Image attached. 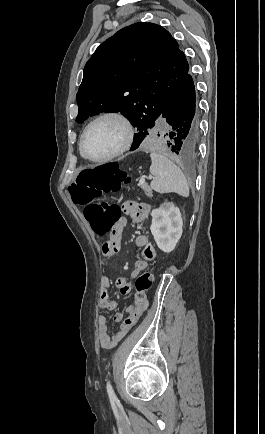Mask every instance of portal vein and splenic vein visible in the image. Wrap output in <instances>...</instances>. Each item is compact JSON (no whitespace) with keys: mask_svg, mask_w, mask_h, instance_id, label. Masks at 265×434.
I'll use <instances>...</instances> for the list:
<instances>
[{"mask_svg":"<svg viewBox=\"0 0 265 434\" xmlns=\"http://www.w3.org/2000/svg\"><path fill=\"white\" fill-rule=\"evenodd\" d=\"M150 180H154L153 176H149ZM145 182V176H143V178H140L139 180V186H142V184H144Z\"/></svg>","mask_w":265,"mask_h":434,"instance_id":"portal-vein-and-splenic-vein-1","label":"portal vein and splenic vein"}]
</instances>
